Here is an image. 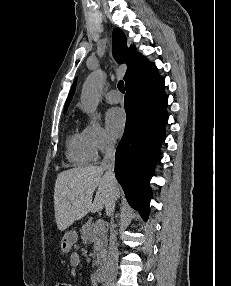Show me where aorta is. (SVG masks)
<instances>
[{"label":"aorta","instance_id":"obj_1","mask_svg":"<svg viewBox=\"0 0 231 286\" xmlns=\"http://www.w3.org/2000/svg\"><path fill=\"white\" fill-rule=\"evenodd\" d=\"M103 82L104 73L100 70L91 73L85 80L81 92V104L86 113L92 114L96 111Z\"/></svg>","mask_w":231,"mask_h":286}]
</instances>
